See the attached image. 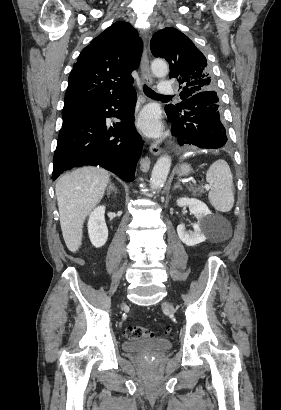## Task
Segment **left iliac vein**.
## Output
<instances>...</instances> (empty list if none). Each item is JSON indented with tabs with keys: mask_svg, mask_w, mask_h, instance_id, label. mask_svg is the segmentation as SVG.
Returning a JSON list of instances; mask_svg holds the SVG:
<instances>
[{
	"mask_svg": "<svg viewBox=\"0 0 281 410\" xmlns=\"http://www.w3.org/2000/svg\"><path fill=\"white\" fill-rule=\"evenodd\" d=\"M163 307L168 309L169 311L173 312L174 311V307L172 304H170L169 302H164L163 303Z\"/></svg>",
	"mask_w": 281,
	"mask_h": 410,
	"instance_id": "1",
	"label": "left iliac vein"
}]
</instances>
